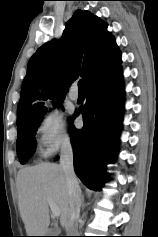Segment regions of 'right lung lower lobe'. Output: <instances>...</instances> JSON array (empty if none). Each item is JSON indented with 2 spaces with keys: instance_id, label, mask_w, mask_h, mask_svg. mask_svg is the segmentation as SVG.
I'll return each instance as SVG.
<instances>
[{
  "instance_id": "1",
  "label": "right lung lower lobe",
  "mask_w": 158,
  "mask_h": 237,
  "mask_svg": "<svg viewBox=\"0 0 158 237\" xmlns=\"http://www.w3.org/2000/svg\"><path fill=\"white\" fill-rule=\"evenodd\" d=\"M79 111L83 128L70 126L74 170L87 187L101 190L107 179L105 166L117 152L124 112L120 65L87 85V100Z\"/></svg>"
}]
</instances>
